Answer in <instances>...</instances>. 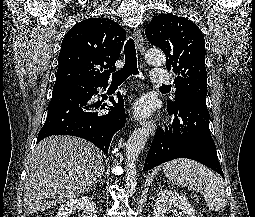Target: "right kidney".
I'll return each instance as SVG.
<instances>
[{"label":"right kidney","instance_id":"ca27d5eb","mask_svg":"<svg viewBox=\"0 0 255 217\" xmlns=\"http://www.w3.org/2000/svg\"><path fill=\"white\" fill-rule=\"evenodd\" d=\"M82 210L81 217H97V207L95 202L88 196L67 200L63 203L55 217H70L76 211Z\"/></svg>","mask_w":255,"mask_h":217}]
</instances>
